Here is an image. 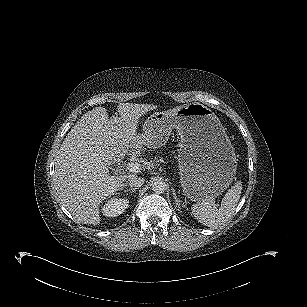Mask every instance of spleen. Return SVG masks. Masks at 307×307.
Masks as SVG:
<instances>
[{"label": "spleen", "mask_w": 307, "mask_h": 307, "mask_svg": "<svg viewBox=\"0 0 307 307\" xmlns=\"http://www.w3.org/2000/svg\"><path fill=\"white\" fill-rule=\"evenodd\" d=\"M241 190L242 184L237 181L225 194L219 207L215 204V198L206 196L193 204L191 208L193 216L201 224L210 228H217L233 215L240 199Z\"/></svg>", "instance_id": "1"}]
</instances>
